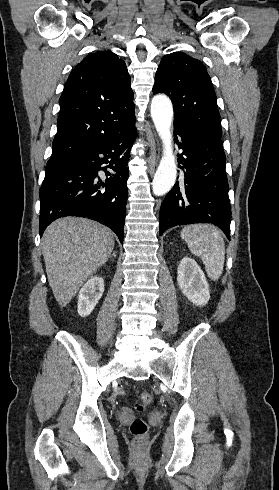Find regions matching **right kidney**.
<instances>
[{"label": "right kidney", "instance_id": "obj_1", "mask_svg": "<svg viewBox=\"0 0 279 490\" xmlns=\"http://www.w3.org/2000/svg\"><path fill=\"white\" fill-rule=\"evenodd\" d=\"M104 292V280L100 276H91L78 294L77 312L81 318L89 316L97 306Z\"/></svg>", "mask_w": 279, "mask_h": 490}]
</instances>
